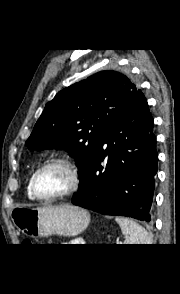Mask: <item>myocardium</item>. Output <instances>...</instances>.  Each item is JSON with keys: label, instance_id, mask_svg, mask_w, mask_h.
<instances>
[{"label": "myocardium", "instance_id": "f54148a6", "mask_svg": "<svg viewBox=\"0 0 180 294\" xmlns=\"http://www.w3.org/2000/svg\"><path fill=\"white\" fill-rule=\"evenodd\" d=\"M51 166H62L67 170L70 176L69 186L62 192L52 196H42L37 190V179L41 172ZM81 185V176L76 164L67 157H55L47 160L41 167H39L31 177V192L32 195L40 201H55L74 194Z\"/></svg>", "mask_w": 180, "mask_h": 294}]
</instances>
